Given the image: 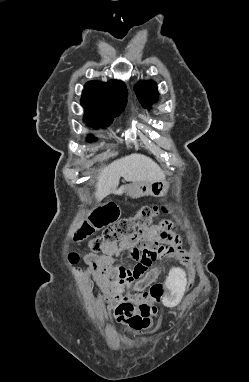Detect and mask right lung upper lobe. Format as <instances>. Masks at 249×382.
<instances>
[{"mask_svg": "<svg viewBox=\"0 0 249 382\" xmlns=\"http://www.w3.org/2000/svg\"><path fill=\"white\" fill-rule=\"evenodd\" d=\"M127 98L125 84L120 81L101 83L91 81L86 83L81 105L84 108H100L107 111L124 109Z\"/></svg>", "mask_w": 249, "mask_h": 382, "instance_id": "cb5924a9", "label": "right lung upper lobe"}]
</instances>
